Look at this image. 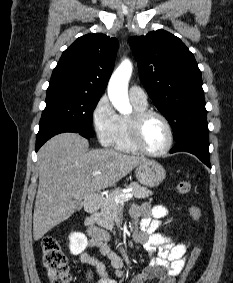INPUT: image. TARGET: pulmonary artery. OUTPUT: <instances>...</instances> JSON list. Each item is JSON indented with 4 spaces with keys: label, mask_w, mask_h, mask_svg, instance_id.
Returning <instances> with one entry per match:
<instances>
[{
    "label": "pulmonary artery",
    "mask_w": 233,
    "mask_h": 283,
    "mask_svg": "<svg viewBox=\"0 0 233 283\" xmlns=\"http://www.w3.org/2000/svg\"><path fill=\"white\" fill-rule=\"evenodd\" d=\"M129 98L133 103L140 104V105H146L147 104V95L138 86H131L130 87Z\"/></svg>",
    "instance_id": "obj_1"
}]
</instances>
